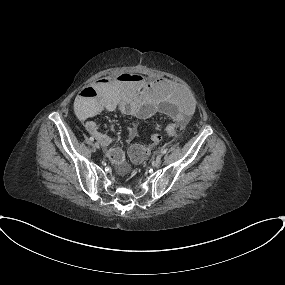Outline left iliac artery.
<instances>
[{"label":"left iliac artery","mask_w":285,"mask_h":285,"mask_svg":"<svg viewBox=\"0 0 285 285\" xmlns=\"http://www.w3.org/2000/svg\"><path fill=\"white\" fill-rule=\"evenodd\" d=\"M161 152L165 154L167 152V149H162Z\"/></svg>","instance_id":"obj_1"}]
</instances>
